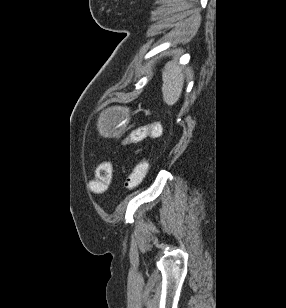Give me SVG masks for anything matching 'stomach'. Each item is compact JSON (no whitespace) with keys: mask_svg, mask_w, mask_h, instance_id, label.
Instances as JSON below:
<instances>
[{"mask_svg":"<svg viewBox=\"0 0 286 308\" xmlns=\"http://www.w3.org/2000/svg\"><path fill=\"white\" fill-rule=\"evenodd\" d=\"M118 112H101L103 125H97V132H123L124 119ZM102 144H123V137H102Z\"/></svg>","mask_w":286,"mask_h":308,"instance_id":"0dacf381","label":"stomach"}]
</instances>
